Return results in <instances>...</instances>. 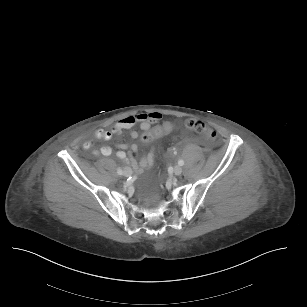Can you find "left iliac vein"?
<instances>
[{
	"label": "left iliac vein",
	"instance_id": "4c4485c4",
	"mask_svg": "<svg viewBox=\"0 0 307 307\" xmlns=\"http://www.w3.org/2000/svg\"><path fill=\"white\" fill-rule=\"evenodd\" d=\"M182 171H183V169H182L181 166H179V165L175 166V168H174V174H175L176 176L181 175V174H182Z\"/></svg>",
	"mask_w": 307,
	"mask_h": 307
}]
</instances>
